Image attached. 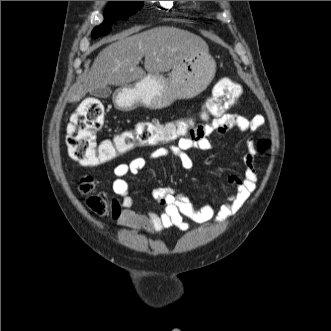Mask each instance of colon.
<instances>
[{
    "label": "colon",
    "instance_id": "1",
    "mask_svg": "<svg viewBox=\"0 0 331 331\" xmlns=\"http://www.w3.org/2000/svg\"><path fill=\"white\" fill-rule=\"evenodd\" d=\"M242 94L241 86L235 81L224 78L215 86L203 119H213L224 115L232 108ZM104 124V107L95 98L84 100L72 116L68 126L67 147L72 159L86 166H97L109 162L139 146H154L171 143L188 133L195 127L190 121L160 122L144 120L134 128L125 130L111 139L97 143L95 133ZM267 146L260 142L259 148ZM81 190L89 192L92 188L91 178L81 183ZM87 205L95 212L102 213L106 208L105 201L98 196H91Z\"/></svg>",
    "mask_w": 331,
    "mask_h": 331
}]
</instances>
